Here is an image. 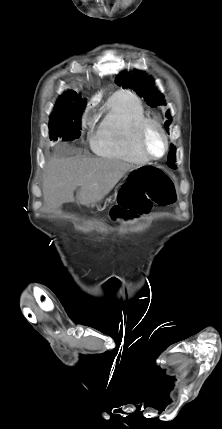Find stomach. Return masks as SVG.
Returning <instances> with one entry per match:
<instances>
[{"instance_id":"0dacf381","label":"stomach","mask_w":222,"mask_h":429,"mask_svg":"<svg viewBox=\"0 0 222 429\" xmlns=\"http://www.w3.org/2000/svg\"><path fill=\"white\" fill-rule=\"evenodd\" d=\"M117 195H118V192L115 193V197H117Z\"/></svg>"}]
</instances>
